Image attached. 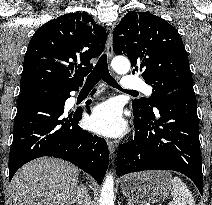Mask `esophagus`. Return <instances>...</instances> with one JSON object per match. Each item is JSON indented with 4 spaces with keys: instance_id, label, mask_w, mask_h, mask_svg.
<instances>
[{
    "instance_id": "esophagus-1",
    "label": "esophagus",
    "mask_w": 212,
    "mask_h": 205,
    "mask_svg": "<svg viewBox=\"0 0 212 205\" xmlns=\"http://www.w3.org/2000/svg\"><path fill=\"white\" fill-rule=\"evenodd\" d=\"M106 52H107L108 59H111L113 56V37H112L111 31L109 32L108 37H107ZM107 144H108L109 152H110L111 156H113L117 145L115 142H113L111 140H108Z\"/></svg>"
}]
</instances>
